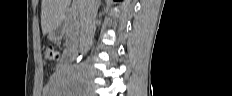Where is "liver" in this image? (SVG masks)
<instances>
[{"label":"liver","instance_id":"6515ba94","mask_svg":"<svg viewBox=\"0 0 232 96\" xmlns=\"http://www.w3.org/2000/svg\"><path fill=\"white\" fill-rule=\"evenodd\" d=\"M71 0H42L41 5V27L44 35L56 30L65 15ZM81 0H78V5Z\"/></svg>","mask_w":232,"mask_h":96}]
</instances>
